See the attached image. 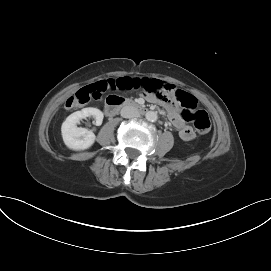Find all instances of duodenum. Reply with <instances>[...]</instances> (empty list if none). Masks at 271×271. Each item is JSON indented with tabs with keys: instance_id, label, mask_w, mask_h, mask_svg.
Wrapping results in <instances>:
<instances>
[{
	"instance_id": "duodenum-1",
	"label": "duodenum",
	"mask_w": 271,
	"mask_h": 271,
	"mask_svg": "<svg viewBox=\"0 0 271 271\" xmlns=\"http://www.w3.org/2000/svg\"><path fill=\"white\" fill-rule=\"evenodd\" d=\"M122 107H131L140 114L145 113V109L142 106L138 105L135 102L120 97H111L107 100L105 106V113L107 116H114L117 113V111Z\"/></svg>"
}]
</instances>
